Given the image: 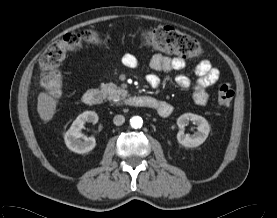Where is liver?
I'll list each match as a JSON object with an SVG mask.
<instances>
[{
    "instance_id": "1",
    "label": "liver",
    "mask_w": 277,
    "mask_h": 218,
    "mask_svg": "<svg viewBox=\"0 0 277 218\" xmlns=\"http://www.w3.org/2000/svg\"><path fill=\"white\" fill-rule=\"evenodd\" d=\"M37 111L44 122L50 121L55 112L58 101L46 92H40L38 95Z\"/></svg>"
}]
</instances>
